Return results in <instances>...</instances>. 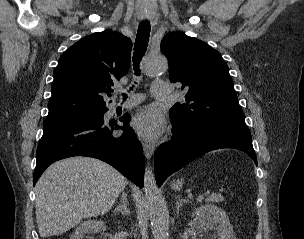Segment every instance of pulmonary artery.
<instances>
[{"mask_svg":"<svg viewBox=\"0 0 304 239\" xmlns=\"http://www.w3.org/2000/svg\"><path fill=\"white\" fill-rule=\"evenodd\" d=\"M152 96L154 97H165L170 93V87L167 82L156 81L152 85L151 90ZM143 101L142 95H132L125 102H114L111 104V109L116 110L117 108H129Z\"/></svg>","mask_w":304,"mask_h":239,"instance_id":"pulmonary-artery-1","label":"pulmonary artery"}]
</instances>
